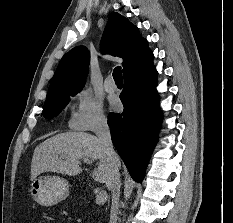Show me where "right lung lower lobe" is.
<instances>
[{"mask_svg": "<svg viewBox=\"0 0 233 223\" xmlns=\"http://www.w3.org/2000/svg\"><path fill=\"white\" fill-rule=\"evenodd\" d=\"M153 64L124 78L120 99L124 111L110 113L112 142L132 178L141 182L162 121Z\"/></svg>", "mask_w": 233, "mask_h": 223, "instance_id": "right-lung-lower-lobe-1", "label": "right lung lower lobe"}]
</instances>
